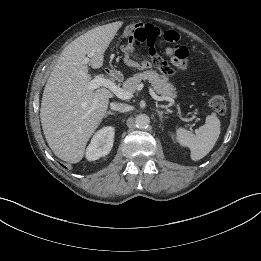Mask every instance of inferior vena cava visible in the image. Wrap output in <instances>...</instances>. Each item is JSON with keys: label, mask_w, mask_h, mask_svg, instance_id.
I'll return each mask as SVG.
<instances>
[{"label": "inferior vena cava", "mask_w": 261, "mask_h": 261, "mask_svg": "<svg viewBox=\"0 0 261 261\" xmlns=\"http://www.w3.org/2000/svg\"><path fill=\"white\" fill-rule=\"evenodd\" d=\"M111 109L120 112H127L129 111V106L122 103H111Z\"/></svg>", "instance_id": "602c4592"}]
</instances>
